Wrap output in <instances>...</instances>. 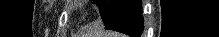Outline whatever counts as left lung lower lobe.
I'll use <instances>...</instances> for the list:
<instances>
[{"instance_id":"left-lung-lower-lobe-1","label":"left lung lower lobe","mask_w":219,"mask_h":37,"mask_svg":"<svg viewBox=\"0 0 219 37\" xmlns=\"http://www.w3.org/2000/svg\"><path fill=\"white\" fill-rule=\"evenodd\" d=\"M140 0H123L105 29L115 30L131 37H141L144 29Z\"/></svg>"}]
</instances>
